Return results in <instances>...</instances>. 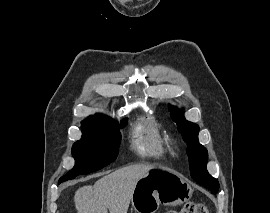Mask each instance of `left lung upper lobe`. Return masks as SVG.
<instances>
[{
    "instance_id": "left-lung-upper-lobe-1",
    "label": "left lung upper lobe",
    "mask_w": 270,
    "mask_h": 213,
    "mask_svg": "<svg viewBox=\"0 0 270 213\" xmlns=\"http://www.w3.org/2000/svg\"><path fill=\"white\" fill-rule=\"evenodd\" d=\"M170 110L173 111L172 119L177 123L179 130L182 132L183 139L188 145L187 153L191 177L197 183L216 194L219 189V183L206 169L208 153L205 147L198 142V125L185 120L183 111L178 112L176 107L170 106Z\"/></svg>"
}]
</instances>
